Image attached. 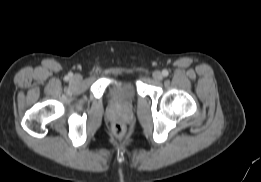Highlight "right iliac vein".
Instances as JSON below:
<instances>
[{
    "instance_id": "63e3f726",
    "label": "right iliac vein",
    "mask_w": 261,
    "mask_h": 182,
    "mask_svg": "<svg viewBox=\"0 0 261 182\" xmlns=\"http://www.w3.org/2000/svg\"><path fill=\"white\" fill-rule=\"evenodd\" d=\"M73 80L74 81H81L82 80V76L79 75V74H76V75L73 76Z\"/></svg>"
}]
</instances>
